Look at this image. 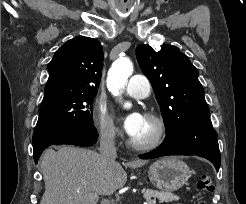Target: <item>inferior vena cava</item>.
<instances>
[{
	"mask_svg": "<svg viewBox=\"0 0 246 204\" xmlns=\"http://www.w3.org/2000/svg\"><path fill=\"white\" fill-rule=\"evenodd\" d=\"M99 151L101 158L106 162H112L116 159L115 142L110 132H106L101 136Z\"/></svg>",
	"mask_w": 246,
	"mask_h": 204,
	"instance_id": "602c4592",
	"label": "inferior vena cava"
}]
</instances>
